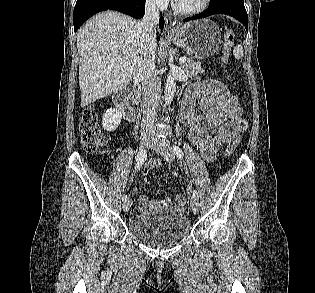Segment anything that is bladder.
Masks as SVG:
<instances>
[{
    "mask_svg": "<svg viewBox=\"0 0 315 293\" xmlns=\"http://www.w3.org/2000/svg\"><path fill=\"white\" fill-rule=\"evenodd\" d=\"M130 232L154 247H167L181 241L190 230L189 218L179 209L167 207L132 216Z\"/></svg>",
    "mask_w": 315,
    "mask_h": 293,
    "instance_id": "bladder-1",
    "label": "bladder"
}]
</instances>
